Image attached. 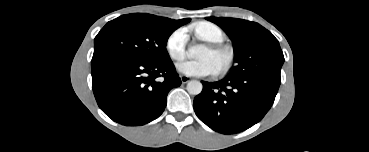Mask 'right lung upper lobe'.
Wrapping results in <instances>:
<instances>
[{
  "instance_id": "1",
  "label": "right lung upper lobe",
  "mask_w": 369,
  "mask_h": 152,
  "mask_svg": "<svg viewBox=\"0 0 369 152\" xmlns=\"http://www.w3.org/2000/svg\"><path fill=\"white\" fill-rule=\"evenodd\" d=\"M145 14V13H143ZM147 17H150V18H154V19H157V20H160L162 22H165V23H168L174 27H177L179 28L180 26L188 23L190 21L189 18H186V19H181V20H172V19H169V18H166V17H159V16H154V15H151V14H145Z\"/></svg>"
}]
</instances>
